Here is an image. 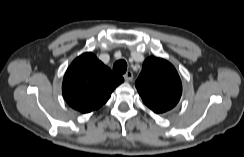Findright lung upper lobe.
Returning <instances> with one entry per match:
<instances>
[{
  "instance_id": "1",
  "label": "right lung upper lobe",
  "mask_w": 244,
  "mask_h": 157,
  "mask_svg": "<svg viewBox=\"0 0 244 157\" xmlns=\"http://www.w3.org/2000/svg\"><path fill=\"white\" fill-rule=\"evenodd\" d=\"M124 81L92 53L77 57L67 69L62 85L63 97L74 109L89 113L109 99L112 91Z\"/></svg>"
}]
</instances>
